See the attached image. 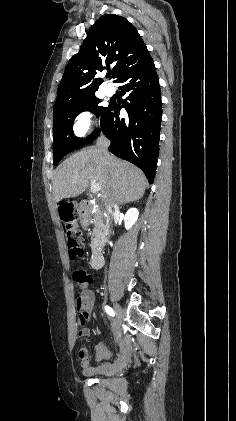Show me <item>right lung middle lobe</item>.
<instances>
[{"instance_id": "dd1d6c3e", "label": "right lung middle lobe", "mask_w": 236, "mask_h": 421, "mask_svg": "<svg viewBox=\"0 0 236 421\" xmlns=\"http://www.w3.org/2000/svg\"><path fill=\"white\" fill-rule=\"evenodd\" d=\"M100 99L95 95L76 99L65 103L53 110V161L57 165L60 160L74 149L81 148L85 142L98 131V128L86 139H80L74 136L72 124L75 117L83 111H91L96 116H100L102 122L108 107H102L98 104Z\"/></svg>"}]
</instances>
